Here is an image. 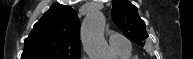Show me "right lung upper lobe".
Segmentation results:
<instances>
[{
    "mask_svg": "<svg viewBox=\"0 0 193 59\" xmlns=\"http://www.w3.org/2000/svg\"><path fill=\"white\" fill-rule=\"evenodd\" d=\"M79 27L75 10L53 4L25 39L21 59H81Z\"/></svg>",
    "mask_w": 193,
    "mask_h": 59,
    "instance_id": "obj_1",
    "label": "right lung upper lobe"
}]
</instances>
